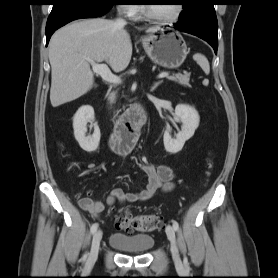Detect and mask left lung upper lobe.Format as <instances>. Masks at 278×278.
<instances>
[{"label":"left lung upper lobe","instance_id":"left-lung-upper-lobe-1","mask_svg":"<svg viewBox=\"0 0 278 278\" xmlns=\"http://www.w3.org/2000/svg\"><path fill=\"white\" fill-rule=\"evenodd\" d=\"M214 3L215 0H182L184 10L179 18L185 20L199 12H205L216 19Z\"/></svg>","mask_w":278,"mask_h":278}]
</instances>
